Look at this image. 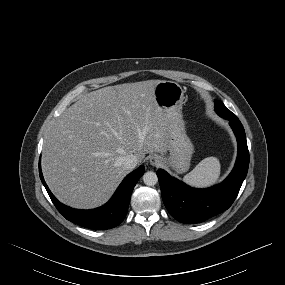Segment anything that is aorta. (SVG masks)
<instances>
[{"mask_svg": "<svg viewBox=\"0 0 285 285\" xmlns=\"http://www.w3.org/2000/svg\"><path fill=\"white\" fill-rule=\"evenodd\" d=\"M143 182L148 186H154L158 182L157 174L153 171L145 172Z\"/></svg>", "mask_w": 285, "mask_h": 285, "instance_id": "762f6f07", "label": "aorta"}]
</instances>
